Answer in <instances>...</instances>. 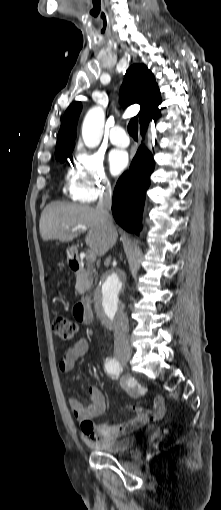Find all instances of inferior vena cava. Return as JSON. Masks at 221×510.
<instances>
[{
	"mask_svg": "<svg viewBox=\"0 0 221 510\" xmlns=\"http://www.w3.org/2000/svg\"><path fill=\"white\" fill-rule=\"evenodd\" d=\"M112 204V190L111 186L107 185L105 190L102 191L99 195V201L96 206V210L101 216L104 227L109 232H115V227L113 225V219L110 214ZM128 317L127 315H123L120 317L114 327V351L115 352H130L129 339H128Z\"/></svg>",
	"mask_w": 221,
	"mask_h": 510,
	"instance_id": "1",
	"label": "inferior vena cava"
}]
</instances>
